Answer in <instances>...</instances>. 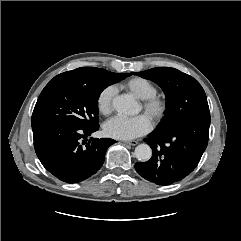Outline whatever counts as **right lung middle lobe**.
I'll return each instance as SVG.
<instances>
[{"instance_id": "right-lung-middle-lobe-1", "label": "right lung middle lobe", "mask_w": 241, "mask_h": 241, "mask_svg": "<svg viewBox=\"0 0 241 241\" xmlns=\"http://www.w3.org/2000/svg\"><path fill=\"white\" fill-rule=\"evenodd\" d=\"M130 74L101 69L90 81L56 76L41 92L35 105L32 127L48 123H66L81 128L98 126V98L109 85Z\"/></svg>"}]
</instances>
